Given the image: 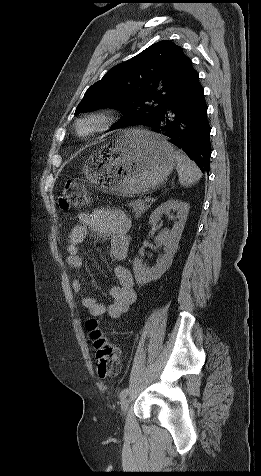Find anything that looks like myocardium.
Returning <instances> with one entry per match:
<instances>
[{
    "mask_svg": "<svg viewBox=\"0 0 261 476\" xmlns=\"http://www.w3.org/2000/svg\"><path fill=\"white\" fill-rule=\"evenodd\" d=\"M115 121L116 118L110 111L91 112L75 121L74 132L79 138L85 139L108 129Z\"/></svg>",
    "mask_w": 261,
    "mask_h": 476,
    "instance_id": "myocardium-1",
    "label": "myocardium"
}]
</instances>
